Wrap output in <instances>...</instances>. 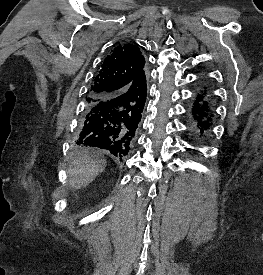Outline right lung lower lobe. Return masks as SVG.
Segmentation results:
<instances>
[{"instance_id":"1","label":"right lung lower lobe","mask_w":263,"mask_h":275,"mask_svg":"<svg viewBox=\"0 0 263 275\" xmlns=\"http://www.w3.org/2000/svg\"><path fill=\"white\" fill-rule=\"evenodd\" d=\"M140 76L146 85L144 70ZM128 104L126 93L95 98V102L85 109L76 144L81 148H100L115 156H125L142 113L133 112Z\"/></svg>"}]
</instances>
